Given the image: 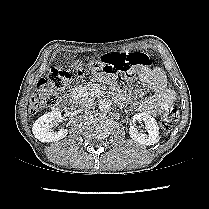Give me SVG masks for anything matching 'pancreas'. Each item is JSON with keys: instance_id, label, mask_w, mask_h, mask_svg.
<instances>
[{"instance_id": "1", "label": "pancreas", "mask_w": 209, "mask_h": 209, "mask_svg": "<svg viewBox=\"0 0 209 209\" xmlns=\"http://www.w3.org/2000/svg\"><path fill=\"white\" fill-rule=\"evenodd\" d=\"M73 94L77 99H81L84 96H98L101 91L96 89L92 84L80 85L73 90Z\"/></svg>"}]
</instances>
